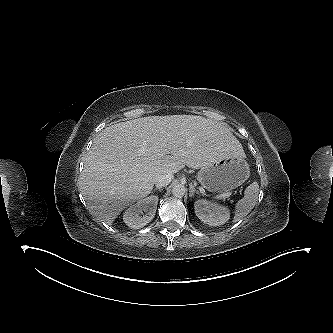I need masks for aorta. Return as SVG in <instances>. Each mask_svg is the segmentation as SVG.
<instances>
[{"label":"aorta","instance_id":"aorta-1","mask_svg":"<svg viewBox=\"0 0 333 333\" xmlns=\"http://www.w3.org/2000/svg\"><path fill=\"white\" fill-rule=\"evenodd\" d=\"M186 188L182 184H176L172 188V194L175 197L181 198L185 195Z\"/></svg>","mask_w":333,"mask_h":333}]
</instances>
